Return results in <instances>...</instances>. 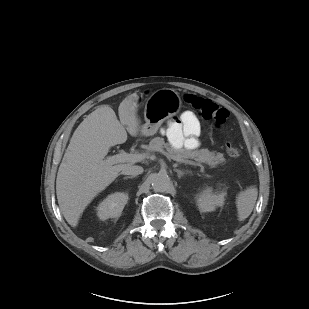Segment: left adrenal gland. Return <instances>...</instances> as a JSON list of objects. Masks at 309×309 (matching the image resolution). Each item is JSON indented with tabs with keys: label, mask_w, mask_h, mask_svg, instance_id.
Listing matches in <instances>:
<instances>
[{
	"label": "left adrenal gland",
	"mask_w": 309,
	"mask_h": 309,
	"mask_svg": "<svg viewBox=\"0 0 309 309\" xmlns=\"http://www.w3.org/2000/svg\"><path fill=\"white\" fill-rule=\"evenodd\" d=\"M175 172H177L178 177L181 178V176H183L184 174L190 173V171L186 170V171H182L179 169H174Z\"/></svg>",
	"instance_id": "left-adrenal-gland-1"
}]
</instances>
